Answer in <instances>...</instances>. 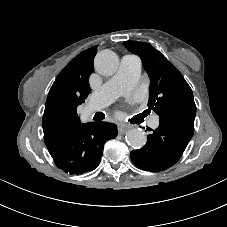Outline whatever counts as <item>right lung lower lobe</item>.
<instances>
[{"mask_svg":"<svg viewBox=\"0 0 227 227\" xmlns=\"http://www.w3.org/2000/svg\"><path fill=\"white\" fill-rule=\"evenodd\" d=\"M117 133L115 124L90 122L53 141L47 148L58 168L66 173L81 174L98 166L105 142L115 138Z\"/></svg>","mask_w":227,"mask_h":227,"instance_id":"right-lung-lower-lobe-1","label":"right lung lower lobe"}]
</instances>
